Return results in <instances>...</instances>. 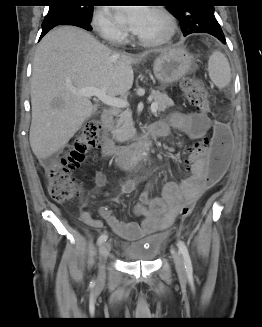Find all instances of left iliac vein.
<instances>
[{"mask_svg":"<svg viewBox=\"0 0 262 327\" xmlns=\"http://www.w3.org/2000/svg\"><path fill=\"white\" fill-rule=\"evenodd\" d=\"M171 255H172L178 275L181 278H185L186 277L185 264H184V261H183V258L181 256L180 252L176 248H172Z\"/></svg>","mask_w":262,"mask_h":327,"instance_id":"4c4485c4","label":"left iliac vein"}]
</instances>
